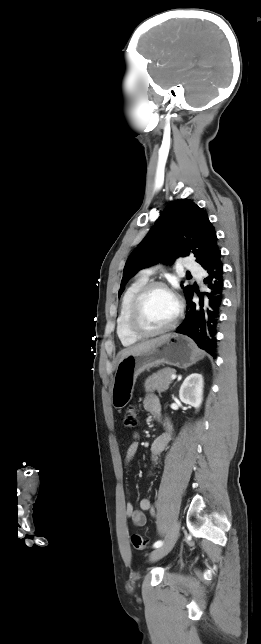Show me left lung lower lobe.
Listing matches in <instances>:
<instances>
[{
  "instance_id": "1",
  "label": "left lung lower lobe",
  "mask_w": 261,
  "mask_h": 644,
  "mask_svg": "<svg viewBox=\"0 0 261 644\" xmlns=\"http://www.w3.org/2000/svg\"><path fill=\"white\" fill-rule=\"evenodd\" d=\"M221 253L217 252L203 268L207 272L204 284L208 291L198 293L199 303L192 302L193 292L186 298L187 310L182 324L176 332L189 336L196 344L216 357V334L223 293V264Z\"/></svg>"
}]
</instances>
